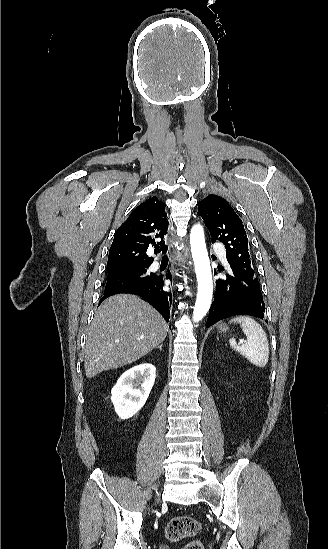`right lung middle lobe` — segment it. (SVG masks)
Masks as SVG:
<instances>
[{
	"label": "right lung middle lobe",
	"mask_w": 328,
	"mask_h": 549,
	"mask_svg": "<svg viewBox=\"0 0 328 549\" xmlns=\"http://www.w3.org/2000/svg\"><path fill=\"white\" fill-rule=\"evenodd\" d=\"M154 276L153 273L147 272V268H135L124 270L116 273L108 274V280L105 287V292L116 288L134 284L145 283Z\"/></svg>",
	"instance_id": "1"
}]
</instances>
